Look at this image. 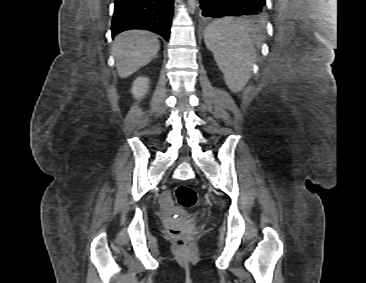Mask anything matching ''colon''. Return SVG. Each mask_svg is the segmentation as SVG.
I'll return each mask as SVG.
<instances>
[{
	"label": "colon",
	"instance_id": "1",
	"mask_svg": "<svg viewBox=\"0 0 366 283\" xmlns=\"http://www.w3.org/2000/svg\"><path fill=\"white\" fill-rule=\"evenodd\" d=\"M175 200L180 206L190 208L197 202V193L192 187L181 184L175 189ZM171 234L180 246L185 245L190 238L189 233L183 229H174Z\"/></svg>",
	"mask_w": 366,
	"mask_h": 283
}]
</instances>
